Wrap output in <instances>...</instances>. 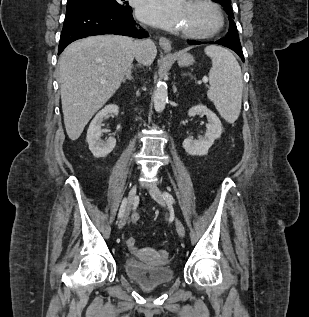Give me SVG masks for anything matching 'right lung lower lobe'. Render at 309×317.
<instances>
[{"label":"right lung lower lobe","mask_w":309,"mask_h":317,"mask_svg":"<svg viewBox=\"0 0 309 317\" xmlns=\"http://www.w3.org/2000/svg\"><path fill=\"white\" fill-rule=\"evenodd\" d=\"M132 8L114 10L82 4H68L60 37L58 54L71 42L87 36L118 34L136 38L148 37L133 27Z\"/></svg>","instance_id":"obj_1"}]
</instances>
